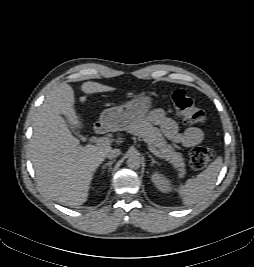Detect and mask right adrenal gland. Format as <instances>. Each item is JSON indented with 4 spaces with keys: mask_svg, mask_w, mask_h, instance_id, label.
Wrapping results in <instances>:
<instances>
[{
    "mask_svg": "<svg viewBox=\"0 0 254 267\" xmlns=\"http://www.w3.org/2000/svg\"><path fill=\"white\" fill-rule=\"evenodd\" d=\"M116 160L113 159L112 161H109L108 163H105L102 168L105 169L107 166L109 167V170H111V166L112 164L115 162Z\"/></svg>",
    "mask_w": 254,
    "mask_h": 267,
    "instance_id": "1",
    "label": "right adrenal gland"
}]
</instances>
